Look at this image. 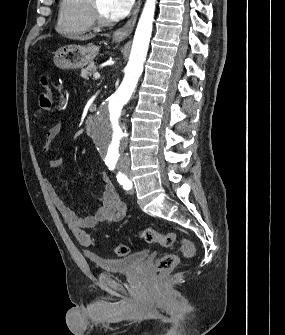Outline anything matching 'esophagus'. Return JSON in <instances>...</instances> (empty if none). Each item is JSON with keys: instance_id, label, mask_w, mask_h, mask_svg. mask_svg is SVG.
<instances>
[{"instance_id": "1", "label": "esophagus", "mask_w": 285, "mask_h": 335, "mask_svg": "<svg viewBox=\"0 0 285 335\" xmlns=\"http://www.w3.org/2000/svg\"><path fill=\"white\" fill-rule=\"evenodd\" d=\"M141 6V0H138V4L137 7L135 8L132 17L125 23V25H123V27L118 28L117 30H115V32L113 33V38L114 39H124L126 38L128 35H130V33H132L136 20H137V16L139 13V9Z\"/></svg>"}]
</instances>
